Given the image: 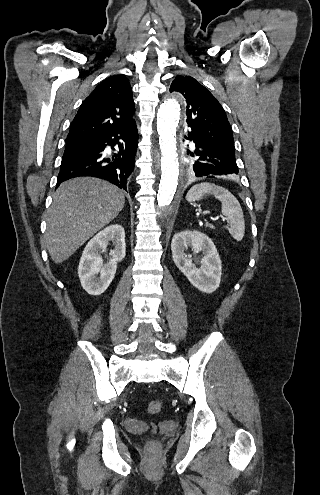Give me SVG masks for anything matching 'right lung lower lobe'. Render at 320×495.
I'll return each mask as SVG.
<instances>
[{
  "mask_svg": "<svg viewBox=\"0 0 320 495\" xmlns=\"http://www.w3.org/2000/svg\"><path fill=\"white\" fill-rule=\"evenodd\" d=\"M137 143L135 123L126 128L67 141L57 183L74 177L93 176L126 190L127 180L134 170ZM116 144L119 153L107 157L104 152L106 146L113 147Z\"/></svg>",
  "mask_w": 320,
  "mask_h": 495,
  "instance_id": "1",
  "label": "right lung lower lobe"
}]
</instances>
